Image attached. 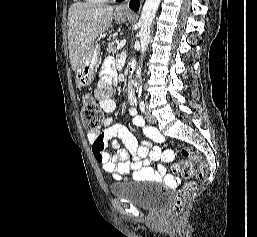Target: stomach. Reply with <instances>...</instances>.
<instances>
[{
    "mask_svg": "<svg viewBox=\"0 0 257 237\" xmlns=\"http://www.w3.org/2000/svg\"><path fill=\"white\" fill-rule=\"evenodd\" d=\"M114 19L116 23H123L129 19L128 15L115 13ZM100 43L99 39L94 41L88 48L86 53L80 60V63L75 72L76 85L80 87H86L91 84L95 77L96 68L100 59Z\"/></svg>",
    "mask_w": 257,
    "mask_h": 237,
    "instance_id": "obj_1",
    "label": "stomach"
}]
</instances>
